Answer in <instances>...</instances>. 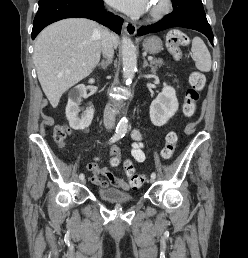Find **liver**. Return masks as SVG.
<instances>
[{
    "label": "liver",
    "mask_w": 248,
    "mask_h": 258,
    "mask_svg": "<svg viewBox=\"0 0 248 258\" xmlns=\"http://www.w3.org/2000/svg\"><path fill=\"white\" fill-rule=\"evenodd\" d=\"M104 31L94 21L70 18L49 25L37 36L33 61L53 108L63 93L90 75L98 64ZM112 41L117 47L118 37L114 34Z\"/></svg>",
    "instance_id": "liver-1"
}]
</instances>
